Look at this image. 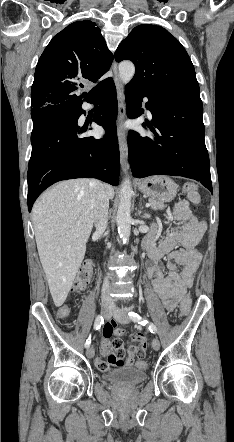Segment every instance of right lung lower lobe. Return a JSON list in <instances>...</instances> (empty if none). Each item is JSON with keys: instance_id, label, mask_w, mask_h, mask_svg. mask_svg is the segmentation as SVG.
Instances as JSON below:
<instances>
[{"instance_id": "right-lung-lower-lobe-1", "label": "right lung lower lobe", "mask_w": 234, "mask_h": 442, "mask_svg": "<svg viewBox=\"0 0 234 442\" xmlns=\"http://www.w3.org/2000/svg\"><path fill=\"white\" fill-rule=\"evenodd\" d=\"M83 101L98 102L93 121L104 127L106 135L103 138L82 137L88 129L77 124L80 115L85 113L81 108ZM117 109L116 88L111 78L84 100L31 110L32 153L27 174L29 212L37 197L57 181L94 177L118 185Z\"/></svg>"}]
</instances>
